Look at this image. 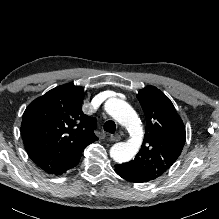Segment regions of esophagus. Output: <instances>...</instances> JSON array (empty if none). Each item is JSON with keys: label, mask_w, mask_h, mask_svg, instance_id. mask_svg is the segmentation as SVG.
<instances>
[{"label": "esophagus", "mask_w": 219, "mask_h": 219, "mask_svg": "<svg viewBox=\"0 0 219 219\" xmlns=\"http://www.w3.org/2000/svg\"><path fill=\"white\" fill-rule=\"evenodd\" d=\"M109 140L113 142H117L121 140V137L118 134H112L109 136Z\"/></svg>", "instance_id": "esophagus-1"}]
</instances>
